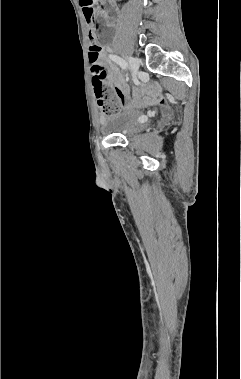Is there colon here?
Returning <instances> with one entry per match:
<instances>
[{
    "label": "colon",
    "instance_id": "colon-1",
    "mask_svg": "<svg viewBox=\"0 0 241 379\" xmlns=\"http://www.w3.org/2000/svg\"><path fill=\"white\" fill-rule=\"evenodd\" d=\"M80 5L83 9L86 20L92 22L95 16L93 0H80ZM88 37L90 41L89 59L93 65L92 70H88L87 75L90 77V81L93 82L98 106L103 114L108 117L118 113L123 105L121 99L104 85L106 74L105 68L97 63L100 47L96 43L95 28L90 29Z\"/></svg>",
    "mask_w": 241,
    "mask_h": 379
}]
</instances>
